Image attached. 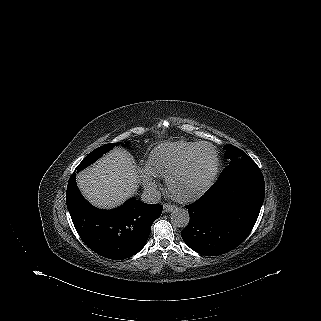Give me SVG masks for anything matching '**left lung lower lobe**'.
<instances>
[{"label":"left lung lower lobe","mask_w":321,"mask_h":321,"mask_svg":"<svg viewBox=\"0 0 321 321\" xmlns=\"http://www.w3.org/2000/svg\"><path fill=\"white\" fill-rule=\"evenodd\" d=\"M264 196L263 175L251 158L230 163L201 198L186 206L190 221L182 239L206 256L236 248L250 234Z\"/></svg>","instance_id":"left-lung-lower-lobe-1"}]
</instances>
